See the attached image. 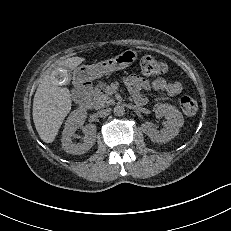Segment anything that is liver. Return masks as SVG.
Masks as SVG:
<instances>
[{
  "instance_id": "6515ba94",
  "label": "liver",
  "mask_w": 231,
  "mask_h": 231,
  "mask_svg": "<svg viewBox=\"0 0 231 231\" xmlns=\"http://www.w3.org/2000/svg\"><path fill=\"white\" fill-rule=\"evenodd\" d=\"M84 60L82 57H71L60 65L75 70ZM54 74L53 71L42 79L33 100V121L40 138L46 143L54 141L72 103L70 91L57 86Z\"/></svg>"
}]
</instances>
